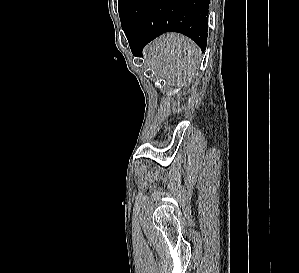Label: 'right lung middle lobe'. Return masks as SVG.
<instances>
[{
  "label": "right lung middle lobe",
  "mask_w": 299,
  "mask_h": 273,
  "mask_svg": "<svg viewBox=\"0 0 299 273\" xmlns=\"http://www.w3.org/2000/svg\"><path fill=\"white\" fill-rule=\"evenodd\" d=\"M133 1L134 0H118L119 15H120L122 27L128 17V14H129V11H130Z\"/></svg>",
  "instance_id": "right-lung-middle-lobe-1"
}]
</instances>
